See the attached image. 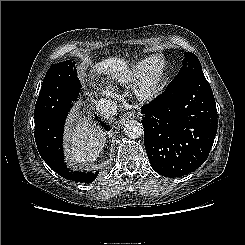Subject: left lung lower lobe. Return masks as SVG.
Segmentation results:
<instances>
[{
	"instance_id": "left-lung-lower-lobe-1",
	"label": "left lung lower lobe",
	"mask_w": 245,
	"mask_h": 245,
	"mask_svg": "<svg viewBox=\"0 0 245 245\" xmlns=\"http://www.w3.org/2000/svg\"><path fill=\"white\" fill-rule=\"evenodd\" d=\"M142 114L145 149L157 173L180 177L205 162L217 132L215 99L205 77L166 88Z\"/></svg>"
}]
</instances>
